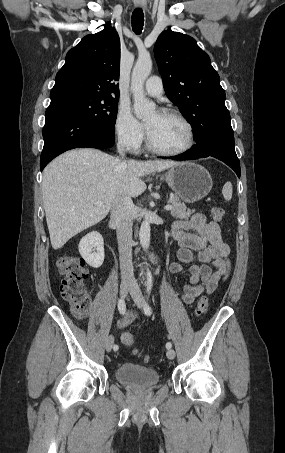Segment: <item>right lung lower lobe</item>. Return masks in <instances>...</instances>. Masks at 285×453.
Wrapping results in <instances>:
<instances>
[{"instance_id": "1", "label": "right lung lower lobe", "mask_w": 285, "mask_h": 453, "mask_svg": "<svg viewBox=\"0 0 285 453\" xmlns=\"http://www.w3.org/2000/svg\"><path fill=\"white\" fill-rule=\"evenodd\" d=\"M45 118L41 171L52 159L67 150L81 147L108 149L114 145V135L95 128L67 104L51 101Z\"/></svg>"}]
</instances>
